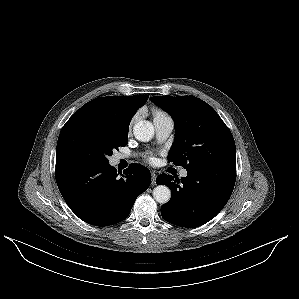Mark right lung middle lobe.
Masks as SVG:
<instances>
[{
	"mask_svg": "<svg viewBox=\"0 0 299 299\" xmlns=\"http://www.w3.org/2000/svg\"><path fill=\"white\" fill-rule=\"evenodd\" d=\"M128 130H122L110 121L81 116L68 120L63 126L56 147V158H73L105 164L114 149L127 145Z\"/></svg>",
	"mask_w": 299,
	"mask_h": 299,
	"instance_id": "1",
	"label": "right lung middle lobe"
}]
</instances>
